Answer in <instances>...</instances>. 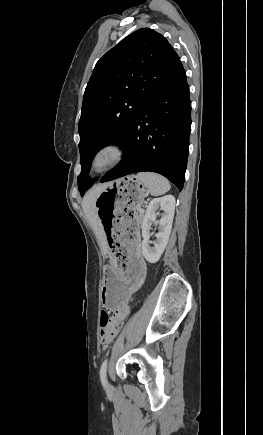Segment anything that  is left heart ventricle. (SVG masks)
Here are the masks:
<instances>
[{"instance_id":"left-heart-ventricle-1","label":"left heart ventricle","mask_w":263,"mask_h":435,"mask_svg":"<svg viewBox=\"0 0 263 435\" xmlns=\"http://www.w3.org/2000/svg\"><path fill=\"white\" fill-rule=\"evenodd\" d=\"M110 160V155L109 154H105L103 155L97 162V166L98 167H102L103 165H105L108 161Z\"/></svg>"}]
</instances>
